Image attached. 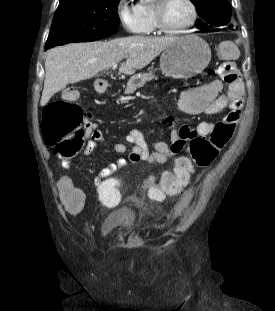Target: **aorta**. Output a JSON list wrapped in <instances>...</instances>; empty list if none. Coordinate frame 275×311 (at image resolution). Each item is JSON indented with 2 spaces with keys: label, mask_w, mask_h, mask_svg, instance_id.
<instances>
[{
  "label": "aorta",
  "mask_w": 275,
  "mask_h": 311,
  "mask_svg": "<svg viewBox=\"0 0 275 311\" xmlns=\"http://www.w3.org/2000/svg\"><path fill=\"white\" fill-rule=\"evenodd\" d=\"M150 0H145V2H149Z\"/></svg>",
  "instance_id": "1"
}]
</instances>
